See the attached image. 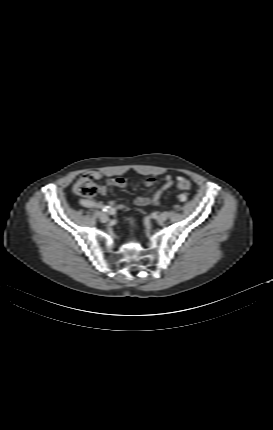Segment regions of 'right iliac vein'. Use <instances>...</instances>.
<instances>
[{"label":"right iliac vein","mask_w":273,"mask_h":430,"mask_svg":"<svg viewBox=\"0 0 273 430\" xmlns=\"http://www.w3.org/2000/svg\"><path fill=\"white\" fill-rule=\"evenodd\" d=\"M97 216L100 218L101 221L105 222L108 220V215L103 211H98Z\"/></svg>","instance_id":"63e3f726"}]
</instances>
